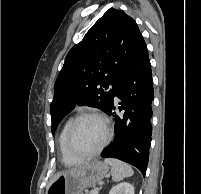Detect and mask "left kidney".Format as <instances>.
Instances as JSON below:
<instances>
[{
  "label": "left kidney",
  "mask_w": 201,
  "mask_h": 194,
  "mask_svg": "<svg viewBox=\"0 0 201 194\" xmlns=\"http://www.w3.org/2000/svg\"><path fill=\"white\" fill-rule=\"evenodd\" d=\"M109 194H134V187L130 183L122 182L112 187Z\"/></svg>",
  "instance_id": "1"
}]
</instances>
